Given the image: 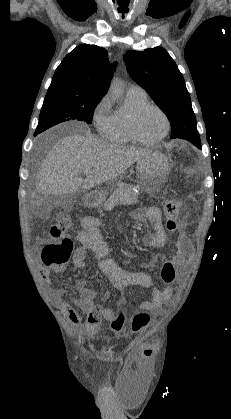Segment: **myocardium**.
<instances>
[{
    "label": "myocardium",
    "mask_w": 231,
    "mask_h": 419,
    "mask_svg": "<svg viewBox=\"0 0 231 419\" xmlns=\"http://www.w3.org/2000/svg\"><path fill=\"white\" fill-rule=\"evenodd\" d=\"M148 109L157 110L163 116V118L165 120V124H166L164 133L161 136H159L158 138L152 139V140L144 138L141 135V133L139 131V128H138V120H139L140 116ZM129 128H130V132H131L132 137L138 143H141V144H144V145H155V144H158L161 141H163L168 136V134L170 132V129H171V122H170V119H169L167 113L161 107H159L156 104L146 103V104H143V105L137 107L136 109H134L132 111V113L130 115V118H129Z\"/></svg>",
    "instance_id": "obj_1"
}]
</instances>
